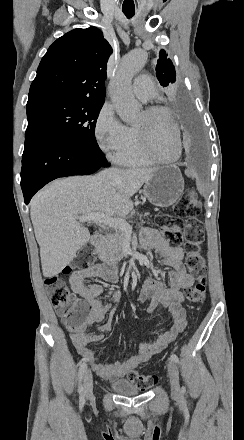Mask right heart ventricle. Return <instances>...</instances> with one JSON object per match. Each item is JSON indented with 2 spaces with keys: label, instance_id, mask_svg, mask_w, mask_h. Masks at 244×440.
<instances>
[{
  "label": "right heart ventricle",
  "instance_id": "1",
  "mask_svg": "<svg viewBox=\"0 0 244 440\" xmlns=\"http://www.w3.org/2000/svg\"><path fill=\"white\" fill-rule=\"evenodd\" d=\"M131 136L134 137L136 145L134 149L126 152H116L113 156V160L116 164L130 167V168H150L155 165V159L152 154L148 153V147H141L140 142V131L136 130L134 127L130 128ZM152 149L155 146H150Z\"/></svg>",
  "mask_w": 244,
  "mask_h": 440
}]
</instances>
